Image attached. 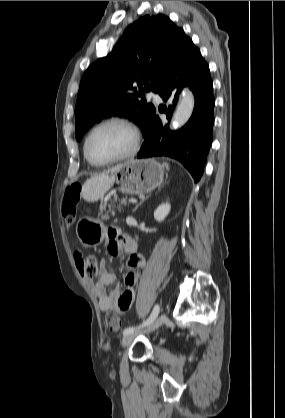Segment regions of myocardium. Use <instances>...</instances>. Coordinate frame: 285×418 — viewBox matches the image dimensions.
I'll list each match as a JSON object with an SVG mask.
<instances>
[{"instance_id": "f54148a6", "label": "myocardium", "mask_w": 285, "mask_h": 418, "mask_svg": "<svg viewBox=\"0 0 285 418\" xmlns=\"http://www.w3.org/2000/svg\"><path fill=\"white\" fill-rule=\"evenodd\" d=\"M110 124H117V125H121L126 127L128 130L131 131L132 135H133V144L132 147L130 148V150L120 156L105 160V161H95L93 160L88 153V142L89 139L91 137V135L98 130L99 128L106 126V125H110ZM139 142H140V136H139V131L136 128V126L131 123L130 121L124 119V118H120V117H111V118H107L104 119L100 122H98L97 124H95L87 133L85 139H84V143H83V153H84V157L86 158V160L94 165V166H106V165H110L113 163H117L120 161H124L127 160L129 158H132L138 151L139 149Z\"/></svg>"}]
</instances>
